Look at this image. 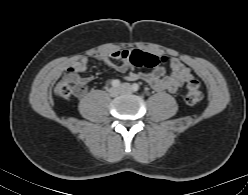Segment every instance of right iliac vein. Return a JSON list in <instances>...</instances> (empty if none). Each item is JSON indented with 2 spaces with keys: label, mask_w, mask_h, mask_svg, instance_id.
<instances>
[{
  "label": "right iliac vein",
  "mask_w": 248,
  "mask_h": 195,
  "mask_svg": "<svg viewBox=\"0 0 248 195\" xmlns=\"http://www.w3.org/2000/svg\"><path fill=\"white\" fill-rule=\"evenodd\" d=\"M120 93H121L120 88L111 87V88L109 89V94H110V96H112V97H116V96H118Z\"/></svg>",
  "instance_id": "obj_1"
}]
</instances>
